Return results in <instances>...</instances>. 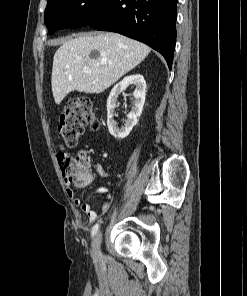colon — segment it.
I'll return each instance as SVG.
<instances>
[{
	"mask_svg": "<svg viewBox=\"0 0 247 296\" xmlns=\"http://www.w3.org/2000/svg\"><path fill=\"white\" fill-rule=\"evenodd\" d=\"M86 126L94 130L100 127V120L91 100L81 97L69 101L64 107L58 125L63 145L76 146ZM58 163L62 174L69 183L84 186L93 180L88 157L84 152L74 156L60 152Z\"/></svg>",
	"mask_w": 247,
	"mask_h": 296,
	"instance_id": "colon-1",
	"label": "colon"
}]
</instances>
